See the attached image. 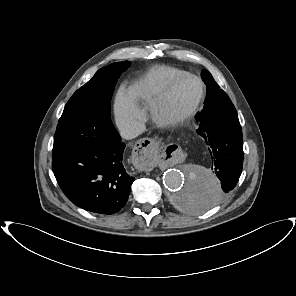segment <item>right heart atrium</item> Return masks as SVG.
<instances>
[{
  "mask_svg": "<svg viewBox=\"0 0 296 296\" xmlns=\"http://www.w3.org/2000/svg\"><path fill=\"white\" fill-rule=\"evenodd\" d=\"M115 112L117 123L124 131H129L143 118L141 110L130 100L127 94L119 93L116 98Z\"/></svg>",
  "mask_w": 296,
  "mask_h": 296,
  "instance_id": "d8ad5b80",
  "label": "right heart atrium"
}]
</instances>
